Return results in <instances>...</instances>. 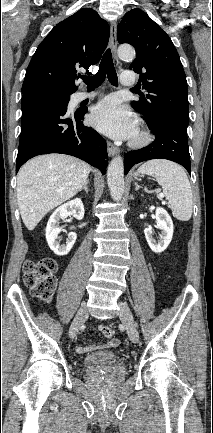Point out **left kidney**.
<instances>
[{
  "label": "left kidney",
  "mask_w": 213,
  "mask_h": 433,
  "mask_svg": "<svg viewBox=\"0 0 213 433\" xmlns=\"http://www.w3.org/2000/svg\"><path fill=\"white\" fill-rule=\"evenodd\" d=\"M156 223L157 227L162 231V235L158 242L152 238L153 230L151 228H146L144 234L151 250L154 253H161L170 244L174 227L171 217L167 211L161 207L156 208Z\"/></svg>",
  "instance_id": "1"
}]
</instances>
